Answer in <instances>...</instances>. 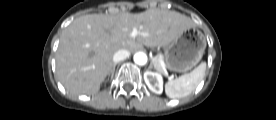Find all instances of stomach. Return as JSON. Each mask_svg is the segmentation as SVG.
<instances>
[{
  "label": "stomach",
  "mask_w": 276,
  "mask_h": 120,
  "mask_svg": "<svg viewBox=\"0 0 276 120\" xmlns=\"http://www.w3.org/2000/svg\"><path fill=\"white\" fill-rule=\"evenodd\" d=\"M205 48L204 34L195 27L187 28L166 47L165 66L169 71L185 73L199 63Z\"/></svg>",
  "instance_id": "stomach-1"
}]
</instances>
